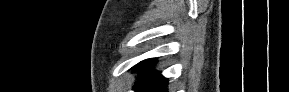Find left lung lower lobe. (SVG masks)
Wrapping results in <instances>:
<instances>
[{
  "label": "left lung lower lobe",
  "mask_w": 289,
  "mask_h": 92,
  "mask_svg": "<svg viewBox=\"0 0 289 92\" xmlns=\"http://www.w3.org/2000/svg\"><path fill=\"white\" fill-rule=\"evenodd\" d=\"M155 59H147L135 65L132 69L139 72H147L135 84V88L141 92H167V79L159 72L148 71L154 64Z\"/></svg>",
  "instance_id": "0a47b994"
}]
</instances>
